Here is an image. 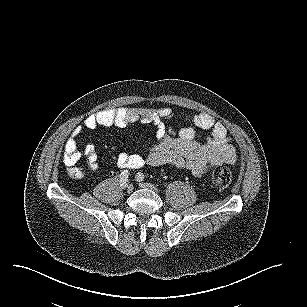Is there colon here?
Masks as SVG:
<instances>
[{
    "label": "colon",
    "instance_id": "1",
    "mask_svg": "<svg viewBox=\"0 0 307 307\" xmlns=\"http://www.w3.org/2000/svg\"><path fill=\"white\" fill-rule=\"evenodd\" d=\"M69 172L74 177H80L82 175L81 169L75 166L71 167ZM210 180L214 186L225 189L232 183V172L226 167H217L211 172Z\"/></svg>",
    "mask_w": 307,
    "mask_h": 307
}]
</instances>
